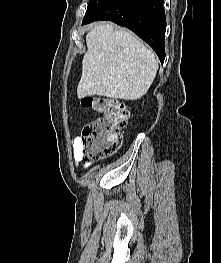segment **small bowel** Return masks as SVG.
Here are the masks:
<instances>
[{
  "instance_id": "c3829d8e",
  "label": "small bowel",
  "mask_w": 221,
  "mask_h": 263,
  "mask_svg": "<svg viewBox=\"0 0 221 263\" xmlns=\"http://www.w3.org/2000/svg\"><path fill=\"white\" fill-rule=\"evenodd\" d=\"M82 141H83V137H76L72 141L73 158L76 162H80L84 160L83 152H82ZM90 165L91 162L85 161L83 168H88Z\"/></svg>"
}]
</instances>
